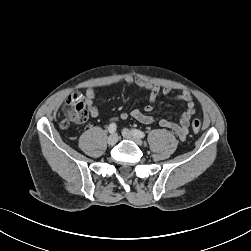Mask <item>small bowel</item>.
I'll list each match as a JSON object with an SVG mask.
<instances>
[{"instance_id":"c3829d8e","label":"small bowel","mask_w":251,"mask_h":251,"mask_svg":"<svg viewBox=\"0 0 251 251\" xmlns=\"http://www.w3.org/2000/svg\"><path fill=\"white\" fill-rule=\"evenodd\" d=\"M124 82L128 85H134L139 88L145 89L149 92V103L145 106L144 111L134 109L130 113L123 112L120 114V118L123 120L129 117L137 120L142 124H151L154 122V117L150 114L153 110V104L156 102L158 97L162 95H168L172 92L169 87H161L157 84L142 80L140 78L127 75L124 78ZM178 99L185 102L186 109L182 113L179 123L171 122L167 119L159 120V125L163 128L173 131L181 140H184L189 132V126L192 116L195 114V104L190 92L184 90L178 95ZM95 90L88 88L85 93V104L87 106L88 113L91 117L95 118L99 115V110L95 103ZM117 118H113L116 120Z\"/></svg>"}]
</instances>
